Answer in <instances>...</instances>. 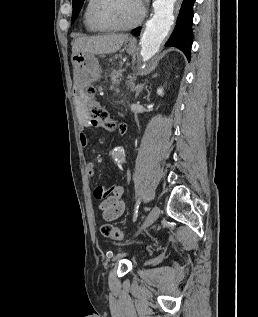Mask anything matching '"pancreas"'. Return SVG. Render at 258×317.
I'll use <instances>...</instances> for the list:
<instances>
[{
    "instance_id": "cf45deb5",
    "label": "pancreas",
    "mask_w": 258,
    "mask_h": 317,
    "mask_svg": "<svg viewBox=\"0 0 258 317\" xmlns=\"http://www.w3.org/2000/svg\"><path fill=\"white\" fill-rule=\"evenodd\" d=\"M119 78L118 77H112L111 83H112V89L116 90V92H121V84H119Z\"/></svg>"
}]
</instances>
